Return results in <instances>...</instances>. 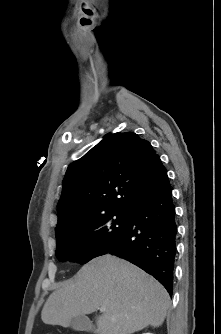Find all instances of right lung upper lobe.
I'll return each mask as SVG.
<instances>
[{
	"label": "right lung upper lobe",
	"mask_w": 221,
	"mask_h": 334,
	"mask_svg": "<svg viewBox=\"0 0 221 334\" xmlns=\"http://www.w3.org/2000/svg\"><path fill=\"white\" fill-rule=\"evenodd\" d=\"M167 178L148 141L133 132L106 135L66 171L56 237L77 223L106 213H129Z\"/></svg>",
	"instance_id": "right-lung-upper-lobe-1"
}]
</instances>
